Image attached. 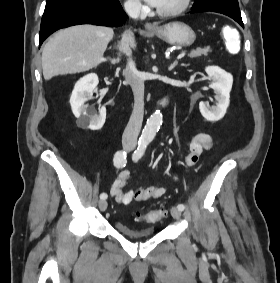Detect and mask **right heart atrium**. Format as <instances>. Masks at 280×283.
<instances>
[{"mask_svg":"<svg viewBox=\"0 0 280 283\" xmlns=\"http://www.w3.org/2000/svg\"><path fill=\"white\" fill-rule=\"evenodd\" d=\"M125 10L134 16H138L143 12V6L137 0H126L124 3Z\"/></svg>","mask_w":280,"mask_h":283,"instance_id":"1","label":"right heart atrium"}]
</instances>
